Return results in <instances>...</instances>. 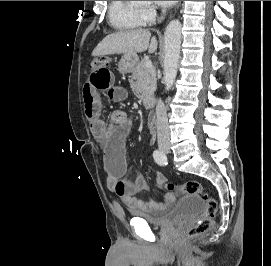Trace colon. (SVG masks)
Masks as SVG:
<instances>
[{"mask_svg":"<svg viewBox=\"0 0 271 266\" xmlns=\"http://www.w3.org/2000/svg\"><path fill=\"white\" fill-rule=\"evenodd\" d=\"M109 58L99 57L91 61L89 68L104 67L109 65ZM166 188L170 191H177L188 195H198L205 202V210L201 218L187 231L186 238L193 239L206 232L213 226L214 217L217 212V202L204 189L203 185L198 181H188L180 185L167 183Z\"/></svg>","mask_w":271,"mask_h":266,"instance_id":"obj_1","label":"colon"}]
</instances>
